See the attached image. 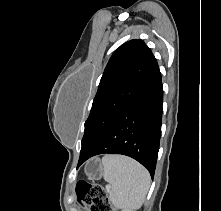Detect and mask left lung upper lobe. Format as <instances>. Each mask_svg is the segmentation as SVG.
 <instances>
[{"label":"left lung upper lobe","instance_id":"left-lung-upper-lobe-1","mask_svg":"<svg viewBox=\"0 0 221 211\" xmlns=\"http://www.w3.org/2000/svg\"><path fill=\"white\" fill-rule=\"evenodd\" d=\"M156 63L150 48L142 40L128 41L113 53L85 122L80 158L91 150L137 95Z\"/></svg>","mask_w":221,"mask_h":211}]
</instances>
